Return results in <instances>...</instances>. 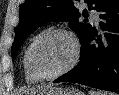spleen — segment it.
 <instances>
[{
    "instance_id": "3e777b00",
    "label": "spleen",
    "mask_w": 119,
    "mask_h": 95,
    "mask_svg": "<svg viewBox=\"0 0 119 95\" xmlns=\"http://www.w3.org/2000/svg\"><path fill=\"white\" fill-rule=\"evenodd\" d=\"M89 95H116L114 93L111 92H101V91H90Z\"/></svg>"
}]
</instances>
